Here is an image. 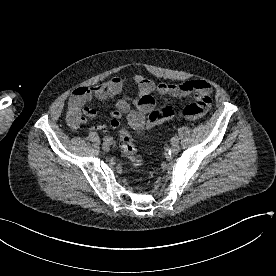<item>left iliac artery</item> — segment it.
I'll return each mask as SVG.
<instances>
[{
    "mask_svg": "<svg viewBox=\"0 0 276 276\" xmlns=\"http://www.w3.org/2000/svg\"><path fill=\"white\" fill-rule=\"evenodd\" d=\"M171 143H172V144H173V143H179V137H178V136L172 137Z\"/></svg>",
    "mask_w": 276,
    "mask_h": 276,
    "instance_id": "1",
    "label": "left iliac artery"
}]
</instances>
